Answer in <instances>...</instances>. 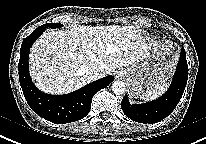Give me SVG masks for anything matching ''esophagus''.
Wrapping results in <instances>:
<instances>
[{"label": "esophagus", "mask_w": 206, "mask_h": 144, "mask_svg": "<svg viewBox=\"0 0 206 144\" xmlns=\"http://www.w3.org/2000/svg\"><path fill=\"white\" fill-rule=\"evenodd\" d=\"M122 74H123L122 72H118V75H119V76H122Z\"/></svg>", "instance_id": "1"}]
</instances>
